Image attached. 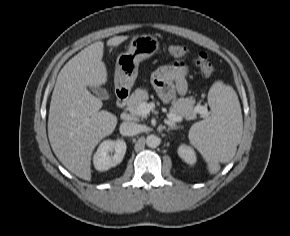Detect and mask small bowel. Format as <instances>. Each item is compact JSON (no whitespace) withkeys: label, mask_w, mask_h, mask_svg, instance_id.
I'll list each match as a JSON object with an SVG mask.
<instances>
[{"label":"small bowel","mask_w":290,"mask_h":236,"mask_svg":"<svg viewBox=\"0 0 290 236\" xmlns=\"http://www.w3.org/2000/svg\"><path fill=\"white\" fill-rule=\"evenodd\" d=\"M188 72V68L181 63L163 65L155 70L152 81L165 103L171 102L177 95L186 94Z\"/></svg>","instance_id":"c3829d8e"}]
</instances>
